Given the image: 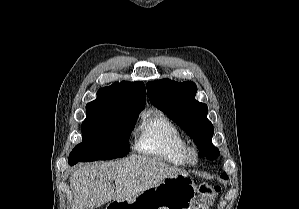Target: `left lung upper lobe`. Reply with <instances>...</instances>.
I'll return each mask as SVG.
<instances>
[{
    "instance_id": "left-lung-upper-lobe-1",
    "label": "left lung upper lobe",
    "mask_w": 299,
    "mask_h": 209,
    "mask_svg": "<svg viewBox=\"0 0 299 209\" xmlns=\"http://www.w3.org/2000/svg\"><path fill=\"white\" fill-rule=\"evenodd\" d=\"M197 87L186 81L178 83L162 79L147 83V93L152 105L167 113L190 135L199 149V155L216 159L219 150L212 144L213 125L207 119V105L195 100Z\"/></svg>"
}]
</instances>
